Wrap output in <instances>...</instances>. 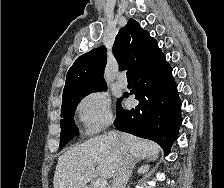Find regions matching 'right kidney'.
Here are the masks:
<instances>
[{"mask_svg":"<svg viewBox=\"0 0 224 188\" xmlns=\"http://www.w3.org/2000/svg\"><path fill=\"white\" fill-rule=\"evenodd\" d=\"M148 169H149V166H148V165H144V166H142V167H140V168L138 169V173H139V174L145 173V172L148 171Z\"/></svg>","mask_w":224,"mask_h":188,"instance_id":"obj_1","label":"right kidney"}]
</instances>
